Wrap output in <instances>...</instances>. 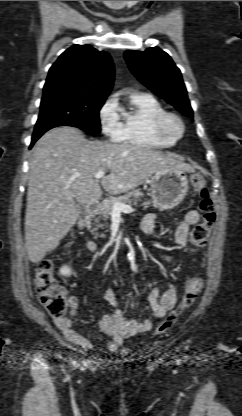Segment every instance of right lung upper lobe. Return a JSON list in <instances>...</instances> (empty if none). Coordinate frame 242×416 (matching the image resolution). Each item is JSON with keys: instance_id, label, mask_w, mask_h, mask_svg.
<instances>
[{"instance_id": "right-lung-upper-lobe-1", "label": "right lung upper lobe", "mask_w": 242, "mask_h": 416, "mask_svg": "<svg viewBox=\"0 0 242 416\" xmlns=\"http://www.w3.org/2000/svg\"><path fill=\"white\" fill-rule=\"evenodd\" d=\"M113 80V62L107 52L90 45H73L50 68L43 97L67 94L106 98Z\"/></svg>"}]
</instances>
